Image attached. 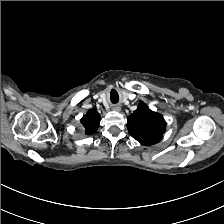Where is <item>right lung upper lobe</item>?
<instances>
[{
    "label": "right lung upper lobe",
    "instance_id": "1",
    "mask_svg": "<svg viewBox=\"0 0 224 224\" xmlns=\"http://www.w3.org/2000/svg\"><path fill=\"white\" fill-rule=\"evenodd\" d=\"M100 119V115L95 109L89 110L87 114L84 115L83 118L80 120L85 128V133H94L99 127Z\"/></svg>",
    "mask_w": 224,
    "mask_h": 224
}]
</instances>
